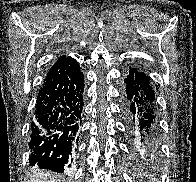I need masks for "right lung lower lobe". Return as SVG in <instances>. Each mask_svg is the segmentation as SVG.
Here are the masks:
<instances>
[{"label": "right lung lower lobe", "instance_id": "1", "mask_svg": "<svg viewBox=\"0 0 196 182\" xmlns=\"http://www.w3.org/2000/svg\"><path fill=\"white\" fill-rule=\"evenodd\" d=\"M84 75L69 57L48 71L39 90L31 123L30 165L63 172L78 144ZM70 166V165H69Z\"/></svg>", "mask_w": 196, "mask_h": 182}]
</instances>
